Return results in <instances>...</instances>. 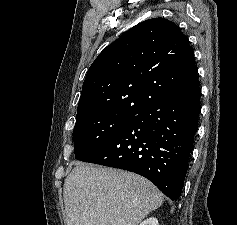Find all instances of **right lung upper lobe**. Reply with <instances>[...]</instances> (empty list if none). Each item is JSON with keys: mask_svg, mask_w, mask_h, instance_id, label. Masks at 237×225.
<instances>
[{"mask_svg": "<svg viewBox=\"0 0 237 225\" xmlns=\"http://www.w3.org/2000/svg\"><path fill=\"white\" fill-rule=\"evenodd\" d=\"M194 52L173 22L139 23L107 46L90 66L76 120L137 114L145 106L199 84Z\"/></svg>", "mask_w": 237, "mask_h": 225, "instance_id": "cb5924a9", "label": "right lung upper lobe"}]
</instances>
